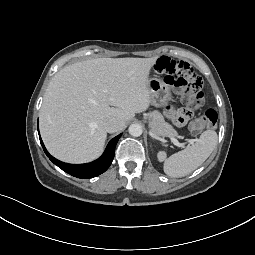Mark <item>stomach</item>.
Here are the masks:
<instances>
[{"label": "stomach", "instance_id": "0dacf381", "mask_svg": "<svg viewBox=\"0 0 255 255\" xmlns=\"http://www.w3.org/2000/svg\"><path fill=\"white\" fill-rule=\"evenodd\" d=\"M149 95L151 104L156 107L164 106L171 100L170 87L157 78L149 79Z\"/></svg>", "mask_w": 255, "mask_h": 255}]
</instances>
